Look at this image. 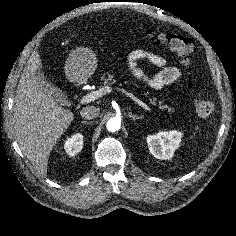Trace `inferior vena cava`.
<instances>
[{
    "label": "inferior vena cava",
    "mask_w": 236,
    "mask_h": 236,
    "mask_svg": "<svg viewBox=\"0 0 236 236\" xmlns=\"http://www.w3.org/2000/svg\"><path fill=\"white\" fill-rule=\"evenodd\" d=\"M99 113H100V109L92 105L86 106L82 108V110L80 111L82 118L87 119V120L96 118L99 115Z\"/></svg>",
    "instance_id": "obj_1"
}]
</instances>
